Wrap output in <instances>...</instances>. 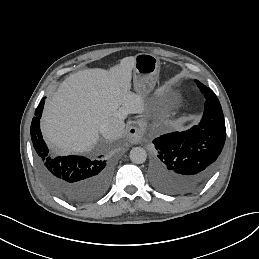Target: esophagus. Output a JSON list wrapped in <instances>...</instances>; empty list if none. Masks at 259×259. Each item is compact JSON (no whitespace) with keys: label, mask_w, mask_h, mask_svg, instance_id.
I'll list each match as a JSON object with an SVG mask.
<instances>
[{"label":"esophagus","mask_w":259,"mask_h":259,"mask_svg":"<svg viewBox=\"0 0 259 259\" xmlns=\"http://www.w3.org/2000/svg\"><path fill=\"white\" fill-rule=\"evenodd\" d=\"M144 136V130L139 126H130L127 133V140L131 144H139Z\"/></svg>","instance_id":"34e87169"}]
</instances>
